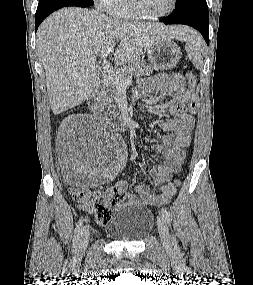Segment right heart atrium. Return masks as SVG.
Listing matches in <instances>:
<instances>
[{
  "label": "right heart atrium",
  "mask_w": 253,
  "mask_h": 285,
  "mask_svg": "<svg viewBox=\"0 0 253 285\" xmlns=\"http://www.w3.org/2000/svg\"><path fill=\"white\" fill-rule=\"evenodd\" d=\"M114 0H94L96 6L101 10H109Z\"/></svg>",
  "instance_id": "d8ad5b80"
}]
</instances>
